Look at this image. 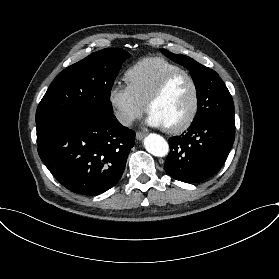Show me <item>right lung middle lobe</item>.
<instances>
[{
  "instance_id": "1",
  "label": "right lung middle lobe",
  "mask_w": 279,
  "mask_h": 279,
  "mask_svg": "<svg viewBox=\"0 0 279 279\" xmlns=\"http://www.w3.org/2000/svg\"><path fill=\"white\" fill-rule=\"evenodd\" d=\"M129 57L122 49H103L64 69L39 103L36 122L50 113L74 110L113 115L111 88Z\"/></svg>"
}]
</instances>
